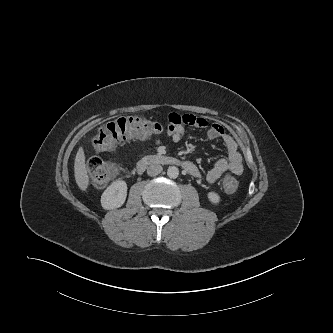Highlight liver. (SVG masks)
<instances>
[{
  "mask_svg": "<svg viewBox=\"0 0 333 333\" xmlns=\"http://www.w3.org/2000/svg\"><path fill=\"white\" fill-rule=\"evenodd\" d=\"M74 176L80 190L86 191L89 185V176L83 147L78 149L75 157Z\"/></svg>",
  "mask_w": 333,
  "mask_h": 333,
  "instance_id": "liver-1",
  "label": "liver"
}]
</instances>
